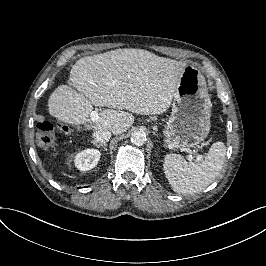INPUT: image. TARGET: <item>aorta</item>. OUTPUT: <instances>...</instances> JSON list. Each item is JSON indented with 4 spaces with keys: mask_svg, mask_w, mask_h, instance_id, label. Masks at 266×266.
Returning a JSON list of instances; mask_svg holds the SVG:
<instances>
[{
    "mask_svg": "<svg viewBox=\"0 0 266 266\" xmlns=\"http://www.w3.org/2000/svg\"><path fill=\"white\" fill-rule=\"evenodd\" d=\"M147 139L146 133L142 130L135 131L131 134L130 141L136 146L143 145Z\"/></svg>",
    "mask_w": 266,
    "mask_h": 266,
    "instance_id": "obj_1",
    "label": "aorta"
}]
</instances>
